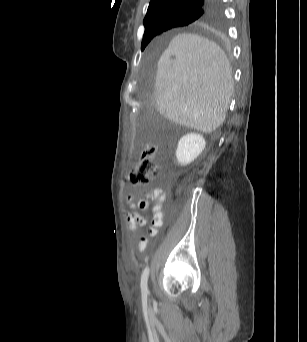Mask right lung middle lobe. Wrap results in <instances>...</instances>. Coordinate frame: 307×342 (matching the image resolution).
Wrapping results in <instances>:
<instances>
[{"label": "right lung middle lobe", "instance_id": "dd1d6c3e", "mask_svg": "<svg viewBox=\"0 0 307 342\" xmlns=\"http://www.w3.org/2000/svg\"><path fill=\"white\" fill-rule=\"evenodd\" d=\"M201 13L202 11L198 9H183L161 13L153 25L145 28L141 49L144 50L156 35L174 27L186 26L198 19Z\"/></svg>", "mask_w": 307, "mask_h": 342}]
</instances>
